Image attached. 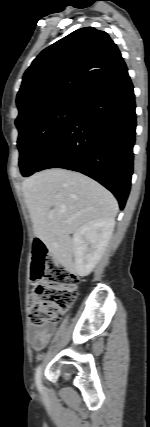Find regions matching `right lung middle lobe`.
Masks as SVG:
<instances>
[{
    "mask_svg": "<svg viewBox=\"0 0 150 427\" xmlns=\"http://www.w3.org/2000/svg\"><path fill=\"white\" fill-rule=\"evenodd\" d=\"M78 106L50 105L34 109L19 117V166L25 177L33 174L49 150L71 123Z\"/></svg>",
    "mask_w": 150,
    "mask_h": 427,
    "instance_id": "right-lung-middle-lobe-1",
    "label": "right lung middle lobe"
}]
</instances>
